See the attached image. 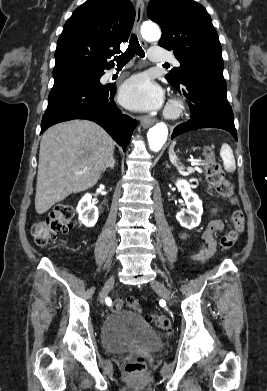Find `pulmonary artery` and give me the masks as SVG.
Masks as SVG:
<instances>
[{
    "label": "pulmonary artery",
    "mask_w": 267,
    "mask_h": 391,
    "mask_svg": "<svg viewBox=\"0 0 267 391\" xmlns=\"http://www.w3.org/2000/svg\"><path fill=\"white\" fill-rule=\"evenodd\" d=\"M149 58L152 62H172L175 66H179V62L166 50L160 47H152L149 51ZM115 71H110L109 75L114 74Z\"/></svg>",
    "instance_id": "obj_1"
}]
</instances>
